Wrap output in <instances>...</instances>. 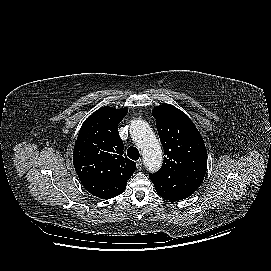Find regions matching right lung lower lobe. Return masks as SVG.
<instances>
[{
	"instance_id": "1",
	"label": "right lung lower lobe",
	"mask_w": 271,
	"mask_h": 271,
	"mask_svg": "<svg viewBox=\"0 0 271 271\" xmlns=\"http://www.w3.org/2000/svg\"><path fill=\"white\" fill-rule=\"evenodd\" d=\"M85 189L92 195L102 198L110 199L121 194L126 187H119L115 183L109 182H81Z\"/></svg>"
}]
</instances>
